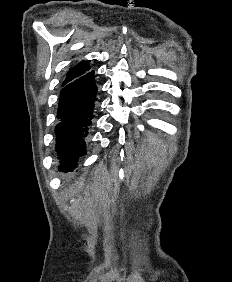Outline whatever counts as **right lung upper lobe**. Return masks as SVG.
<instances>
[{"label":"right lung upper lobe","instance_id":"cb5924a9","mask_svg":"<svg viewBox=\"0 0 232 282\" xmlns=\"http://www.w3.org/2000/svg\"><path fill=\"white\" fill-rule=\"evenodd\" d=\"M89 69H90L89 64L86 61H81L80 63H78L74 67L70 68V70L68 71L66 78H65L63 83L71 81V80L85 74L86 72L89 71Z\"/></svg>","mask_w":232,"mask_h":282}]
</instances>
